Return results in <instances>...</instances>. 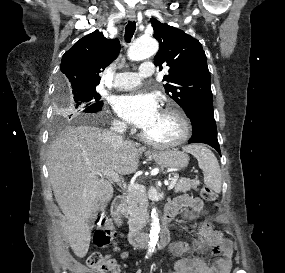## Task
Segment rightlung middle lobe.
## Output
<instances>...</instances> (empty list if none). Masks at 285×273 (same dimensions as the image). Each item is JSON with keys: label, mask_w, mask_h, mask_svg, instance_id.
<instances>
[{"label": "right lung middle lobe", "mask_w": 285, "mask_h": 273, "mask_svg": "<svg viewBox=\"0 0 285 273\" xmlns=\"http://www.w3.org/2000/svg\"><path fill=\"white\" fill-rule=\"evenodd\" d=\"M101 96L95 89L69 90L67 84L60 79L57 92V104L61 118L75 119L85 113H96L102 109Z\"/></svg>", "instance_id": "dd1d6c3e"}]
</instances>
